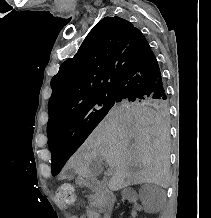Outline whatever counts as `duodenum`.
<instances>
[{
	"instance_id": "obj_1",
	"label": "duodenum",
	"mask_w": 211,
	"mask_h": 218,
	"mask_svg": "<svg viewBox=\"0 0 211 218\" xmlns=\"http://www.w3.org/2000/svg\"><path fill=\"white\" fill-rule=\"evenodd\" d=\"M82 178L87 187L95 189L99 192V212L102 215V218H110L116 200L114 193L105 185L103 181L92 174L84 173Z\"/></svg>"
}]
</instances>
